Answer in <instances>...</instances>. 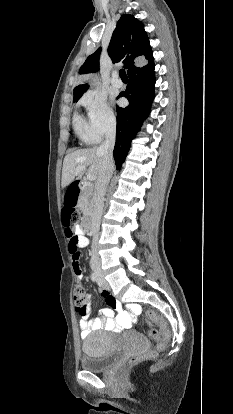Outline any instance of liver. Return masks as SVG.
Here are the masks:
<instances>
[{
  "instance_id": "1",
  "label": "liver",
  "mask_w": 233,
  "mask_h": 414,
  "mask_svg": "<svg viewBox=\"0 0 233 414\" xmlns=\"http://www.w3.org/2000/svg\"><path fill=\"white\" fill-rule=\"evenodd\" d=\"M81 167H88V174L98 178L103 167V155L98 147L79 149L65 156L62 168V187L69 186L75 177H81L85 170L76 174Z\"/></svg>"
}]
</instances>
